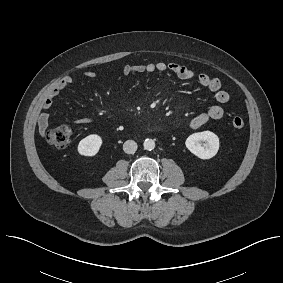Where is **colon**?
<instances>
[{
	"mask_svg": "<svg viewBox=\"0 0 283 283\" xmlns=\"http://www.w3.org/2000/svg\"><path fill=\"white\" fill-rule=\"evenodd\" d=\"M244 119L240 116H235L231 120V125L234 129H242L244 127ZM72 135V127L68 124H62L50 129L46 133V141L54 148H66L70 142Z\"/></svg>",
	"mask_w": 283,
	"mask_h": 283,
	"instance_id": "obj_1",
	"label": "colon"
}]
</instances>
